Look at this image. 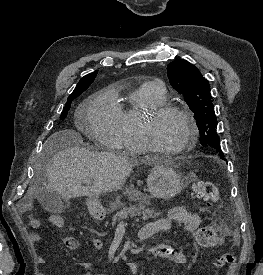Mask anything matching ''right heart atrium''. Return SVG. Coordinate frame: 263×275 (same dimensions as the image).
<instances>
[{
  "instance_id": "obj_1",
  "label": "right heart atrium",
  "mask_w": 263,
  "mask_h": 275,
  "mask_svg": "<svg viewBox=\"0 0 263 275\" xmlns=\"http://www.w3.org/2000/svg\"><path fill=\"white\" fill-rule=\"evenodd\" d=\"M88 121L95 139L109 148H118L117 105L114 93L98 94L88 108Z\"/></svg>"
}]
</instances>
